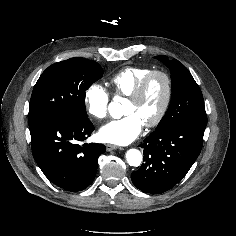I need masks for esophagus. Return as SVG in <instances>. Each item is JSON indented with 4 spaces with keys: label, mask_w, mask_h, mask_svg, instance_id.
I'll use <instances>...</instances> for the list:
<instances>
[{
    "label": "esophagus",
    "mask_w": 236,
    "mask_h": 236,
    "mask_svg": "<svg viewBox=\"0 0 236 236\" xmlns=\"http://www.w3.org/2000/svg\"><path fill=\"white\" fill-rule=\"evenodd\" d=\"M116 149H121V148L119 146H117V145L106 144V150L107 151H112V150H116Z\"/></svg>",
    "instance_id": "34e87169"
}]
</instances>
